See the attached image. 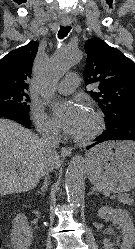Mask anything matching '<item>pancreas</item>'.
I'll return each instance as SVG.
<instances>
[{"label":"pancreas","instance_id":"cf45deb5","mask_svg":"<svg viewBox=\"0 0 135 249\" xmlns=\"http://www.w3.org/2000/svg\"><path fill=\"white\" fill-rule=\"evenodd\" d=\"M118 201L123 203V204H126V205H132L133 204V199L127 197V196H120L118 198Z\"/></svg>","mask_w":135,"mask_h":249}]
</instances>
